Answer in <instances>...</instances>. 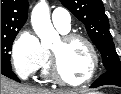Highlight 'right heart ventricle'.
Returning a JSON list of instances; mask_svg holds the SVG:
<instances>
[{
	"instance_id": "1",
	"label": "right heart ventricle",
	"mask_w": 121,
	"mask_h": 94,
	"mask_svg": "<svg viewBox=\"0 0 121 94\" xmlns=\"http://www.w3.org/2000/svg\"><path fill=\"white\" fill-rule=\"evenodd\" d=\"M61 31V30H60ZM62 33H67V31H61ZM47 51V50H46ZM48 53V59H49V52L47 51ZM48 59H47V62L45 63V73H48V70H49V64H48Z\"/></svg>"
}]
</instances>
